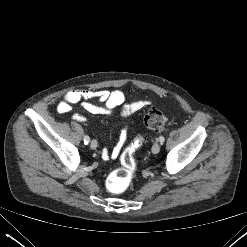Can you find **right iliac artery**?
Segmentation results:
<instances>
[{
	"label": "right iliac artery",
	"mask_w": 247,
	"mask_h": 247,
	"mask_svg": "<svg viewBox=\"0 0 247 247\" xmlns=\"http://www.w3.org/2000/svg\"><path fill=\"white\" fill-rule=\"evenodd\" d=\"M89 142H90V138H89V136L86 135V136L84 137V143H85V144H89Z\"/></svg>",
	"instance_id": "obj_1"
}]
</instances>
